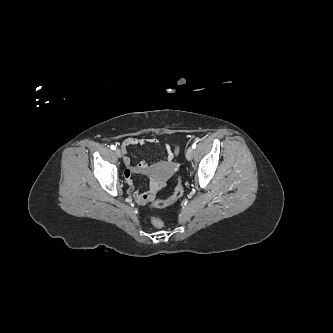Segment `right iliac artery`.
<instances>
[{
	"mask_svg": "<svg viewBox=\"0 0 333 333\" xmlns=\"http://www.w3.org/2000/svg\"><path fill=\"white\" fill-rule=\"evenodd\" d=\"M112 150H115L116 149V147L114 146V145H111V147H110Z\"/></svg>",
	"mask_w": 333,
	"mask_h": 333,
	"instance_id": "obj_1",
	"label": "right iliac artery"
}]
</instances>
